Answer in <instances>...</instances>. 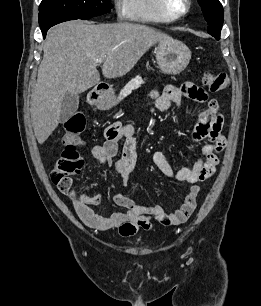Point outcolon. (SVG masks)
<instances>
[{"label": "colon", "mask_w": 261, "mask_h": 306, "mask_svg": "<svg viewBox=\"0 0 261 306\" xmlns=\"http://www.w3.org/2000/svg\"><path fill=\"white\" fill-rule=\"evenodd\" d=\"M203 83L211 91L217 92L228 88L230 80L225 73L205 72L202 77ZM86 126V118L82 112H75L64 124L65 134L63 137L64 149L50 173L52 182L57 188L66 194H70L76 202L96 203V197L86 198L71 190V176L78 174L84 164L83 159L77 151L79 136Z\"/></svg>", "instance_id": "obj_1"}]
</instances>
